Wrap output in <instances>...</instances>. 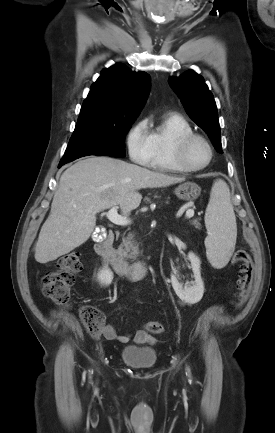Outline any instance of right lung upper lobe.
I'll list each match as a JSON object with an SVG mask.
<instances>
[{"label":"right lung upper lobe","mask_w":275,"mask_h":433,"mask_svg":"<svg viewBox=\"0 0 275 433\" xmlns=\"http://www.w3.org/2000/svg\"><path fill=\"white\" fill-rule=\"evenodd\" d=\"M150 78L118 63L101 72L84 100L78 121L123 122L135 120L142 109Z\"/></svg>","instance_id":"cb5924a9"}]
</instances>
